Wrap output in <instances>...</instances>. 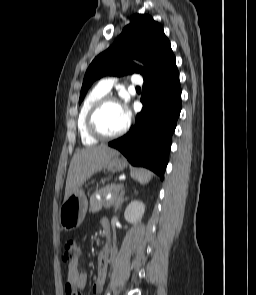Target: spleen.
Wrapping results in <instances>:
<instances>
[{
    "mask_svg": "<svg viewBox=\"0 0 256 295\" xmlns=\"http://www.w3.org/2000/svg\"><path fill=\"white\" fill-rule=\"evenodd\" d=\"M135 178L141 183L146 184L151 179V173L145 169H139L135 171Z\"/></svg>",
    "mask_w": 256,
    "mask_h": 295,
    "instance_id": "1",
    "label": "spleen"
}]
</instances>
